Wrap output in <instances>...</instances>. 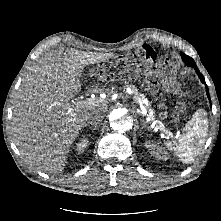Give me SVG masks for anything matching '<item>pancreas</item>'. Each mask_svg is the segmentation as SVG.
<instances>
[{
    "instance_id": "cf45deb5",
    "label": "pancreas",
    "mask_w": 221,
    "mask_h": 221,
    "mask_svg": "<svg viewBox=\"0 0 221 221\" xmlns=\"http://www.w3.org/2000/svg\"><path fill=\"white\" fill-rule=\"evenodd\" d=\"M132 89V93H133V99L135 100V102L140 103L141 101H143L145 99V96L143 94H140L138 92V89L135 86H131ZM150 114L153 115L154 112L153 110H150Z\"/></svg>"
}]
</instances>
